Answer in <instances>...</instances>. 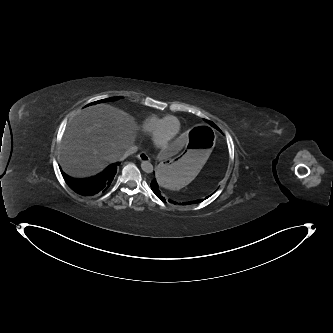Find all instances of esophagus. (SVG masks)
<instances>
[{
	"mask_svg": "<svg viewBox=\"0 0 333 333\" xmlns=\"http://www.w3.org/2000/svg\"><path fill=\"white\" fill-rule=\"evenodd\" d=\"M138 159L143 161V162H147L150 160L148 154L145 152V151H142L140 152L138 155H137Z\"/></svg>",
	"mask_w": 333,
	"mask_h": 333,
	"instance_id": "esophagus-1",
	"label": "esophagus"
}]
</instances>
